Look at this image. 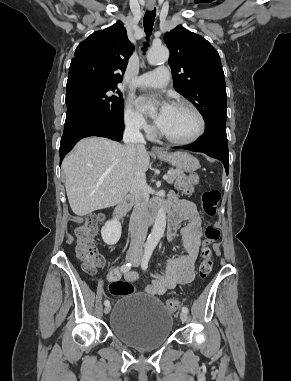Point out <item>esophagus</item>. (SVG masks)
Returning <instances> with one entry per match:
<instances>
[{"label": "esophagus", "instance_id": "1", "mask_svg": "<svg viewBox=\"0 0 291 381\" xmlns=\"http://www.w3.org/2000/svg\"><path fill=\"white\" fill-rule=\"evenodd\" d=\"M154 6H155V4L153 2H148V4H147V7L149 10H152L154 8ZM152 150L155 153H162V151L157 147H153Z\"/></svg>", "mask_w": 291, "mask_h": 381}]
</instances>
